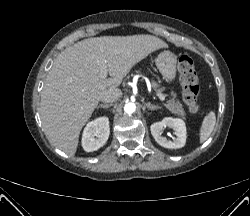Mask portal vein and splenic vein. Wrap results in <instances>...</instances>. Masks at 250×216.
Masks as SVG:
<instances>
[{"label": "portal vein and splenic vein", "mask_w": 250, "mask_h": 216, "mask_svg": "<svg viewBox=\"0 0 250 216\" xmlns=\"http://www.w3.org/2000/svg\"><path fill=\"white\" fill-rule=\"evenodd\" d=\"M100 64H101V71H100L99 77H100L101 79H105V78L107 77L106 61H105V60H102V61H100ZM156 95L158 96V98H159L161 101H164V100H165V97H164L163 94L157 93Z\"/></svg>", "instance_id": "1"}]
</instances>
